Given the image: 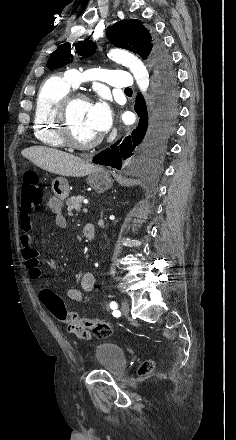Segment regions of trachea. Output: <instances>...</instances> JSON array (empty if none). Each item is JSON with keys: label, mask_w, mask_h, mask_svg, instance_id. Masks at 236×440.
Instances as JSON below:
<instances>
[{"label": "trachea", "mask_w": 236, "mask_h": 440, "mask_svg": "<svg viewBox=\"0 0 236 440\" xmlns=\"http://www.w3.org/2000/svg\"><path fill=\"white\" fill-rule=\"evenodd\" d=\"M131 90H132V89H130V88H129V89H126V91H131Z\"/></svg>", "instance_id": "1"}]
</instances>
